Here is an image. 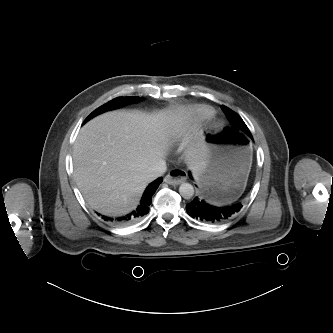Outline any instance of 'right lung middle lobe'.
Here are the masks:
<instances>
[{
	"label": "right lung middle lobe",
	"mask_w": 333,
	"mask_h": 333,
	"mask_svg": "<svg viewBox=\"0 0 333 333\" xmlns=\"http://www.w3.org/2000/svg\"><path fill=\"white\" fill-rule=\"evenodd\" d=\"M140 100V97L137 96H132V97H118L113 99L112 101L104 104L103 106L97 108L95 111H93L84 121L87 122L88 120H90L91 118L95 117L98 114H101L103 112H106L108 110H113L116 108H119L121 106H124L126 104H131L134 102H138Z\"/></svg>",
	"instance_id": "1"
}]
</instances>
